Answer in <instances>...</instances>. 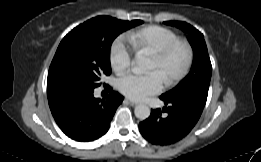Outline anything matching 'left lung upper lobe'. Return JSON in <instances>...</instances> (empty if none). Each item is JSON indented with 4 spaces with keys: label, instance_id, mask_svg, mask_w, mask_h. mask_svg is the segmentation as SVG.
<instances>
[{
    "label": "left lung upper lobe",
    "instance_id": "obj_1",
    "mask_svg": "<svg viewBox=\"0 0 261 162\" xmlns=\"http://www.w3.org/2000/svg\"><path fill=\"white\" fill-rule=\"evenodd\" d=\"M164 23L188 33L187 38L193 48L194 60L190 73L174 89L162 94V97L172 98L181 93H190L207 100L212 66L203 34L185 22L166 21Z\"/></svg>",
    "mask_w": 261,
    "mask_h": 162
}]
</instances>
